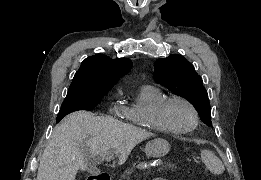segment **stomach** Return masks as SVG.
Wrapping results in <instances>:
<instances>
[{
	"label": "stomach",
	"mask_w": 261,
	"mask_h": 180,
	"mask_svg": "<svg viewBox=\"0 0 261 180\" xmlns=\"http://www.w3.org/2000/svg\"><path fill=\"white\" fill-rule=\"evenodd\" d=\"M170 151V144L162 138H155L145 146V153L148 157H163Z\"/></svg>",
	"instance_id": "1"
}]
</instances>
